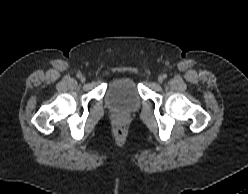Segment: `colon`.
Segmentation results:
<instances>
[{
    "label": "colon",
    "instance_id": "5ec220e1",
    "mask_svg": "<svg viewBox=\"0 0 248 194\" xmlns=\"http://www.w3.org/2000/svg\"><path fill=\"white\" fill-rule=\"evenodd\" d=\"M123 132H124V130H123L122 127H118V128H117V134H118L119 136L123 135Z\"/></svg>",
    "mask_w": 248,
    "mask_h": 194
}]
</instances>
